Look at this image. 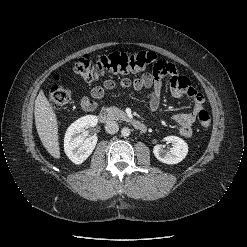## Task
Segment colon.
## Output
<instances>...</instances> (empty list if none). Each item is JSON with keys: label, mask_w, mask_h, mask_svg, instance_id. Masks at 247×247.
Returning <instances> with one entry per match:
<instances>
[{"label": "colon", "mask_w": 247, "mask_h": 247, "mask_svg": "<svg viewBox=\"0 0 247 247\" xmlns=\"http://www.w3.org/2000/svg\"><path fill=\"white\" fill-rule=\"evenodd\" d=\"M152 67L156 75L165 73L170 64L158 60L153 52L140 51L136 53L113 52L93 58L84 55L77 58L73 63V70L86 81H94L106 74H126L142 71ZM71 99L70 90L60 83L55 84L49 94V101L52 107L60 108L66 105ZM197 120L202 128H208L211 123L207 111L201 110Z\"/></svg>", "instance_id": "5ec220e1"}]
</instances>
